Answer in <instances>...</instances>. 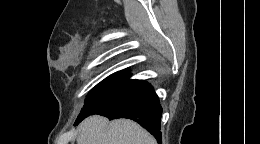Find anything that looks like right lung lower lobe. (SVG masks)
Masks as SVG:
<instances>
[{
  "label": "right lung lower lobe",
  "instance_id": "right-lung-lower-lobe-1",
  "mask_svg": "<svg viewBox=\"0 0 260 144\" xmlns=\"http://www.w3.org/2000/svg\"><path fill=\"white\" fill-rule=\"evenodd\" d=\"M161 113L162 108L159 98L152 86L143 80H132L88 116L99 114L110 120L117 118L132 119L147 129L158 142H161ZM86 117L77 119L75 124Z\"/></svg>",
  "mask_w": 260,
  "mask_h": 144
}]
</instances>
